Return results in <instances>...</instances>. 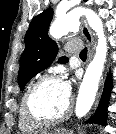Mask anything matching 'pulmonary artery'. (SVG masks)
Returning a JSON list of instances; mask_svg holds the SVG:
<instances>
[{"label":"pulmonary artery","mask_w":116,"mask_h":134,"mask_svg":"<svg viewBox=\"0 0 116 134\" xmlns=\"http://www.w3.org/2000/svg\"><path fill=\"white\" fill-rule=\"evenodd\" d=\"M82 47L83 45L81 40L73 39L66 44L65 50L68 53H78L82 50Z\"/></svg>","instance_id":"1"}]
</instances>
